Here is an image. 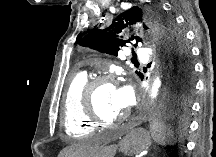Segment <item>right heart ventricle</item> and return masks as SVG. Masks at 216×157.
<instances>
[{"mask_svg":"<svg viewBox=\"0 0 216 157\" xmlns=\"http://www.w3.org/2000/svg\"><path fill=\"white\" fill-rule=\"evenodd\" d=\"M89 80L86 73H72L62 97L63 128L71 137L89 135L96 127L83 110L82 92Z\"/></svg>","mask_w":216,"mask_h":157,"instance_id":"obj_1","label":"right heart ventricle"}]
</instances>
